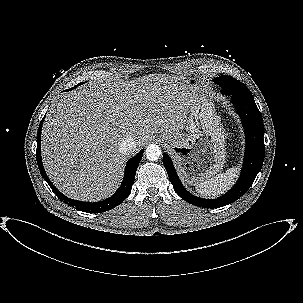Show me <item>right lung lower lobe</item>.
I'll return each mask as SVG.
<instances>
[{
    "mask_svg": "<svg viewBox=\"0 0 303 303\" xmlns=\"http://www.w3.org/2000/svg\"><path fill=\"white\" fill-rule=\"evenodd\" d=\"M43 120H44V118L42 119L38 132H37L36 160H37L38 167H39L42 177L46 180V182L49 184L51 189L55 192V194L61 201H63L64 203H66L72 207H75L78 210H82V211H86V212H90V213H101V212L108 211V210L113 209L114 207L118 206L129 196L132 185L134 183L136 170L142 159L144 149H142L136 156H134L127 162L123 182H122L121 186L119 187V189L111 197H109L103 201L93 202V203L73 200V199H70V198L66 197L65 195H63L53 185V183L48 179L46 172L44 170V167L42 164V158H41V144H40Z\"/></svg>",
    "mask_w": 303,
    "mask_h": 303,
    "instance_id": "obj_1",
    "label": "right lung lower lobe"
}]
</instances>
